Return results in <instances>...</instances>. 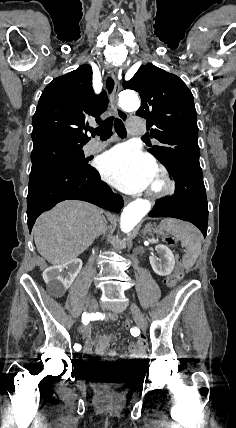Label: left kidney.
<instances>
[{
  "instance_id": "obj_1",
  "label": "left kidney",
  "mask_w": 236,
  "mask_h": 428,
  "mask_svg": "<svg viewBox=\"0 0 236 428\" xmlns=\"http://www.w3.org/2000/svg\"><path fill=\"white\" fill-rule=\"evenodd\" d=\"M155 252L160 254V258H157L155 254L149 256L150 264L152 266V270H154L155 274L158 276H169L171 272H173V268L175 266L174 256L167 248V246H155Z\"/></svg>"
}]
</instances>
